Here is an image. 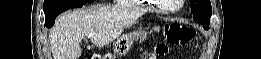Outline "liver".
Instances as JSON below:
<instances>
[{
    "label": "liver",
    "mask_w": 261,
    "mask_h": 59,
    "mask_svg": "<svg viewBox=\"0 0 261 59\" xmlns=\"http://www.w3.org/2000/svg\"><path fill=\"white\" fill-rule=\"evenodd\" d=\"M140 16L109 6H93L60 15L51 28L49 39L53 59H79L80 42L88 36L99 47L117 39Z\"/></svg>",
    "instance_id": "6515ba94"
}]
</instances>
